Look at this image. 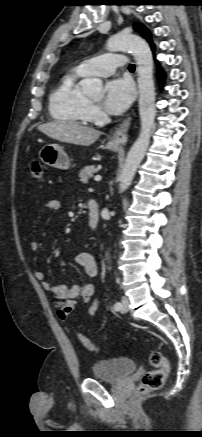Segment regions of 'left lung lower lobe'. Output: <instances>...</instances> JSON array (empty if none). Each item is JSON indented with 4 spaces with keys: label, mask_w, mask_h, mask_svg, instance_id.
Returning a JSON list of instances; mask_svg holds the SVG:
<instances>
[{
    "label": "left lung lower lobe",
    "mask_w": 202,
    "mask_h": 437,
    "mask_svg": "<svg viewBox=\"0 0 202 437\" xmlns=\"http://www.w3.org/2000/svg\"><path fill=\"white\" fill-rule=\"evenodd\" d=\"M152 49H154V47ZM162 78H163V75L160 72H158V80L160 82L162 81Z\"/></svg>",
    "instance_id": "0a47b994"
}]
</instances>
